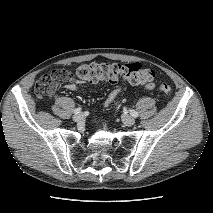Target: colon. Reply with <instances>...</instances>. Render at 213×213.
Here are the masks:
<instances>
[{
	"label": "colon",
	"instance_id": "obj_1",
	"mask_svg": "<svg viewBox=\"0 0 213 213\" xmlns=\"http://www.w3.org/2000/svg\"><path fill=\"white\" fill-rule=\"evenodd\" d=\"M76 76L81 81L96 83L108 82L117 83L126 81L132 85H142L149 90H159L164 93H170L172 88L167 83L156 86L153 83L155 74L150 68L142 66L140 63H87L79 66L76 70ZM70 78L69 72L65 70H57L41 77L36 84L35 93L37 97L42 98L48 87L56 82ZM120 92L119 88H115L109 95L106 104H112Z\"/></svg>",
	"mask_w": 213,
	"mask_h": 213
}]
</instances>
